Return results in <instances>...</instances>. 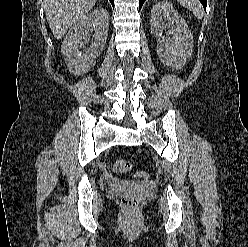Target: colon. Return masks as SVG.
<instances>
[{
  "instance_id": "colon-1",
  "label": "colon",
  "mask_w": 248,
  "mask_h": 247,
  "mask_svg": "<svg viewBox=\"0 0 248 247\" xmlns=\"http://www.w3.org/2000/svg\"><path fill=\"white\" fill-rule=\"evenodd\" d=\"M131 167H132V163L128 160H116L112 164V170L115 173L127 172L131 169ZM137 175L139 177H146L147 176V174L144 172H139ZM121 204L125 209L132 211L138 207L139 201L133 195H126L122 198Z\"/></svg>"
}]
</instances>
